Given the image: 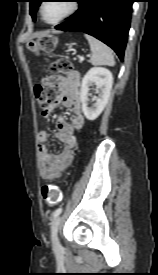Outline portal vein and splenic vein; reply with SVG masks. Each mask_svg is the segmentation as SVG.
<instances>
[{"instance_id": "obj_1", "label": "portal vein and splenic vein", "mask_w": 158, "mask_h": 275, "mask_svg": "<svg viewBox=\"0 0 158 275\" xmlns=\"http://www.w3.org/2000/svg\"><path fill=\"white\" fill-rule=\"evenodd\" d=\"M79 59H80V61H83L84 57L83 56H79Z\"/></svg>"}]
</instances>
